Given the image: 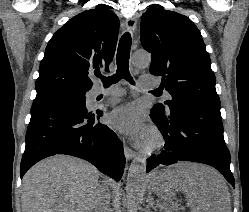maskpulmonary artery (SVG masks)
Instances as JSON below:
<instances>
[{"instance_id":"1","label":"pulmonary artery","mask_w":249,"mask_h":212,"mask_svg":"<svg viewBox=\"0 0 249 212\" xmlns=\"http://www.w3.org/2000/svg\"><path fill=\"white\" fill-rule=\"evenodd\" d=\"M141 87L144 89H153L157 87L156 83H150V84H141ZM124 91L122 89H116L114 87H110L108 89L104 88L101 80H98V82L93 86L92 90L90 91V97L91 99H95L97 96L103 94V95H112V96H119L122 95ZM165 98H170V94L165 91L164 93Z\"/></svg>"}]
</instances>
